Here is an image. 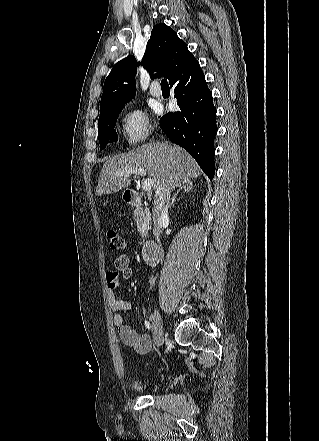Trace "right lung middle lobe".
Returning a JSON list of instances; mask_svg holds the SVG:
<instances>
[{
  "mask_svg": "<svg viewBox=\"0 0 319 441\" xmlns=\"http://www.w3.org/2000/svg\"><path fill=\"white\" fill-rule=\"evenodd\" d=\"M124 105L108 107L100 110L98 121V138L100 150H102L109 142H117V133L114 130L118 114Z\"/></svg>",
  "mask_w": 319,
  "mask_h": 441,
  "instance_id": "dd1d6c3e",
  "label": "right lung middle lobe"
}]
</instances>
